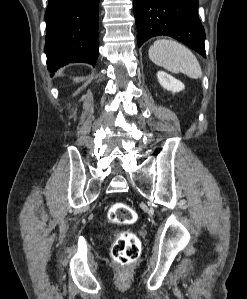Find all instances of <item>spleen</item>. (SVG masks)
<instances>
[{
    "label": "spleen",
    "mask_w": 247,
    "mask_h": 299,
    "mask_svg": "<svg viewBox=\"0 0 247 299\" xmlns=\"http://www.w3.org/2000/svg\"><path fill=\"white\" fill-rule=\"evenodd\" d=\"M150 60L172 73H184L188 77L197 79L202 77L201 66L196 56L180 43L161 39L149 48Z\"/></svg>",
    "instance_id": "3e777b00"
}]
</instances>
